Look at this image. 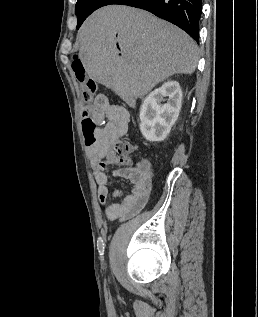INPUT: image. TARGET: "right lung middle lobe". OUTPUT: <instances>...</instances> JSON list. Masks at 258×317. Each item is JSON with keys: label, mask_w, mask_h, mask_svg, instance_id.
<instances>
[{"label": "right lung middle lobe", "mask_w": 258, "mask_h": 317, "mask_svg": "<svg viewBox=\"0 0 258 317\" xmlns=\"http://www.w3.org/2000/svg\"><path fill=\"white\" fill-rule=\"evenodd\" d=\"M86 0H78L75 6V13L77 14Z\"/></svg>", "instance_id": "1"}]
</instances>
